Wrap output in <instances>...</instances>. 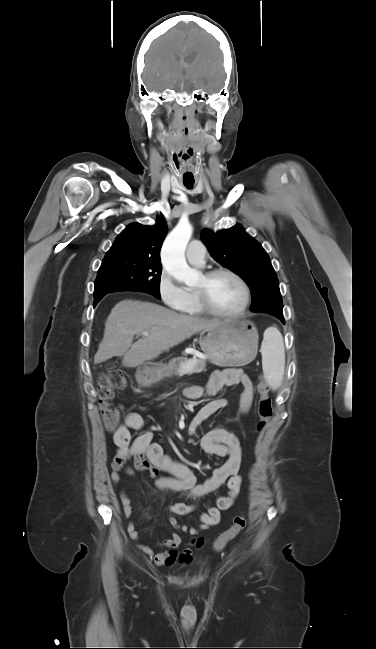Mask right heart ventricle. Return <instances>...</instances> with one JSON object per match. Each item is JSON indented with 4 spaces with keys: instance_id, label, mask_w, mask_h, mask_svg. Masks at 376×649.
I'll use <instances>...</instances> for the list:
<instances>
[{
    "instance_id": "1",
    "label": "right heart ventricle",
    "mask_w": 376,
    "mask_h": 649,
    "mask_svg": "<svg viewBox=\"0 0 376 649\" xmlns=\"http://www.w3.org/2000/svg\"><path fill=\"white\" fill-rule=\"evenodd\" d=\"M186 290V299L183 305L180 308V311L187 315H203L205 311L202 309L196 292L194 289H185Z\"/></svg>"
}]
</instances>
